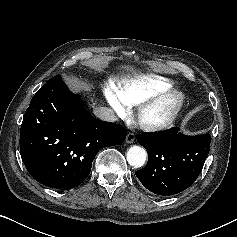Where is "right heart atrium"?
Masks as SVG:
<instances>
[{
    "mask_svg": "<svg viewBox=\"0 0 237 237\" xmlns=\"http://www.w3.org/2000/svg\"><path fill=\"white\" fill-rule=\"evenodd\" d=\"M105 97L116 115L123 117L129 113L130 104L119 95L113 85H109L105 88Z\"/></svg>",
    "mask_w": 237,
    "mask_h": 237,
    "instance_id": "right-heart-atrium-1",
    "label": "right heart atrium"
}]
</instances>
